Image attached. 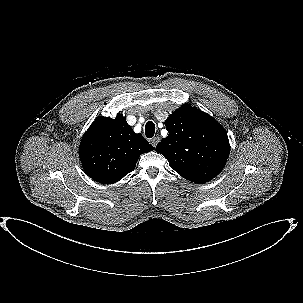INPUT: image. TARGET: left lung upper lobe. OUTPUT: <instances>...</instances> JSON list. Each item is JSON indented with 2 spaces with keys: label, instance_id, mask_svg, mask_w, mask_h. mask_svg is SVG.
<instances>
[{
  "label": "left lung upper lobe",
  "instance_id": "left-lung-upper-lobe-1",
  "mask_svg": "<svg viewBox=\"0 0 303 303\" xmlns=\"http://www.w3.org/2000/svg\"><path fill=\"white\" fill-rule=\"evenodd\" d=\"M169 135L156 146L185 179L205 183L224 168L230 144L224 128L210 115L184 104L165 121Z\"/></svg>",
  "mask_w": 303,
  "mask_h": 303
}]
</instances>
